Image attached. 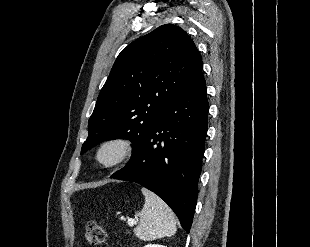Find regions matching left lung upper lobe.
I'll return each mask as SVG.
<instances>
[{
  "instance_id": "1",
  "label": "left lung upper lobe",
  "mask_w": 310,
  "mask_h": 247,
  "mask_svg": "<svg viewBox=\"0 0 310 247\" xmlns=\"http://www.w3.org/2000/svg\"><path fill=\"white\" fill-rule=\"evenodd\" d=\"M202 59L180 27L165 24L118 55L88 123L84 153L108 139L125 138L139 150L166 107L201 73Z\"/></svg>"
}]
</instances>
